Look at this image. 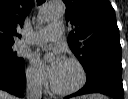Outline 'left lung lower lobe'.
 Listing matches in <instances>:
<instances>
[{"label": "left lung lower lobe", "instance_id": "obj_1", "mask_svg": "<svg viewBox=\"0 0 128 99\" xmlns=\"http://www.w3.org/2000/svg\"><path fill=\"white\" fill-rule=\"evenodd\" d=\"M84 70L87 78L85 86L68 97L102 93L114 99H124L121 57L97 55L84 67Z\"/></svg>", "mask_w": 128, "mask_h": 99}]
</instances>
